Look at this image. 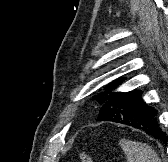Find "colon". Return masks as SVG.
Returning a JSON list of instances; mask_svg holds the SVG:
<instances>
[{"instance_id":"colon-1","label":"colon","mask_w":168,"mask_h":162,"mask_svg":"<svg viewBox=\"0 0 168 162\" xmlns=\"http://www.w3.org/2000/svg\"><path fill=\"white\" fill-rule=\"evenodd\" d=\"M78 159L79 162H93L91 157L84 153L79 154Z\"/></svg>"}]
</instances>
